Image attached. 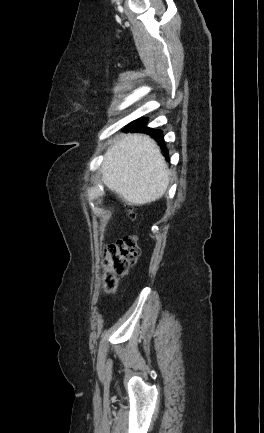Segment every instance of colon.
Here are the masks:
<instances>
[{
  "label": "colon",
  "instance_id": "obj_1",
  "mask_svg": "<svg viewBox=\"0 0 264 433\" xmlns=\"http://www.w3.org/2000/svg\"><path fill=\"white\" fill-rule=\"evenodd\" d=\"M134 216L133 212H130ZM140 255L138 239L135 235L126 236L108 245L104 250L103 265L107 271L105 286L112 292L118 285L117 278L128 273Z\"/></svg>",
  "mask_w": 264,
  "mask_h": 433
}]
</instances>
